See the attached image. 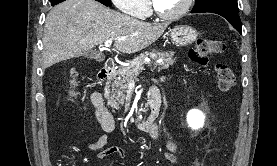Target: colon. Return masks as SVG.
<instances>
[{"label": "colon", "instance_id": "1", "mask_svg": "<svg viewBox=\"0 0 277 166\" xmlns=\"http://www.w3.org/2000/svg\"><path fill=\"white\" fill-rule=\"evenodd\" d=\"M226 44L219 39L199 38L189 52L190 59L198 65L206 66L212 56L223 53ZM71 85L76 82L77 72L75 69L69 71ZM214 78L221 92L229 91L235 82L232 69L224 63H216L214 65Z\"/></svg>", "mask_w": 277, "mask_h": 166}]
</instances>
